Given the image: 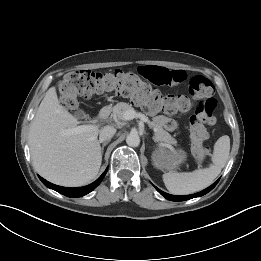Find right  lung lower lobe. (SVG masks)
Here are the masks:
<instances>
[{
  "mask_svg": "<svg viewBox=\"0 0 261 261\" xmlns=\"http://www.w3.org/2000/svg\"><path fill=\"white\" fill-rule=\"evenodd\" d=\"M107 172V169L105 170V172L93 183L84 186V187H79V188H66V187H61V186H57L54 185L48 181H46L45 179H43L42 177L39 176L40 180L43 182V184L45 186H47L48 188H51L67 197H81L84 196L86 194H88L89 192H91L92 190H94L102 181V179L104 178L105 174Z\"/></svg>",
  "mask_w": 261,
  "mask_h": 261,
  "instance_id": "right-lung-lower-lobe-1",
  "label": "right lung lower lobe"
}]
</instances>
